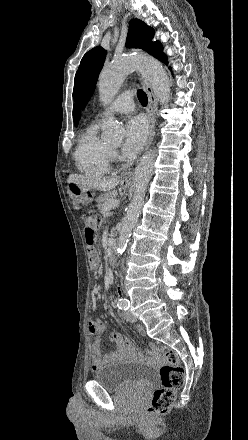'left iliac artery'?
Wrapping results in <instances>:
<instances>
[{
    "label": "left iliac artery",
    "mask_w": 248,
    "mask_h": 440,
    "mask_svg": "<svg viewBox=\"0 0 248 440\" xmlns=\"http://www.w3.org/2000/svg\"><path fill=\"white\" fill-rule=\"evenodd\" d=\"M117 306L121 310H128L130 307V302L126 298L118 299Z\"/></svg>",
    "instance_id": "44dca946"
}]
</instances>
